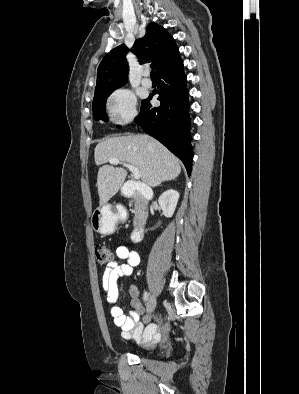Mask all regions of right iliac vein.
I'll return each mask as SVG.
<instances>
[{
  "label": "right iliac vein",
  "mask_w": 299,
  "mask_h": 394,
  "mask_svg": "<svg viewBox=\"0 0 299 394\" xmlns=\"http://www.w3.org/2000/svg\"><path fill=\"white\" fill-rule=\"evenodd\" d=\"M156 307V298L152 295L147 303V313H152Z\"/></svg>",
  "instance_id": "obj_1"
}]
</instances>
